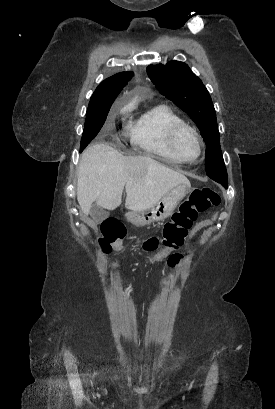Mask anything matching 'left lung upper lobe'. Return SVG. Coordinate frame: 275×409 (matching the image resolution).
Listing matches in <instances>:
<instances>
[{"instance_id": "1", "label": "left lung upper lobe", "mask_w": 275, "mask_h": 409, "mask_svg": "<svg viewBox=\"0 0 275 409\" xmlns=\"http://www.w3.org/2000/svg\"><path fill=\"white\" fill-rule=\"evenodd\" d=\"M147 73L156 88L186 112L196 123L207 145V175L228 185V177L220 149L215 109L209 92L187 64L170 61L166 65H150Z\"/></svg>"}]
</instances>
